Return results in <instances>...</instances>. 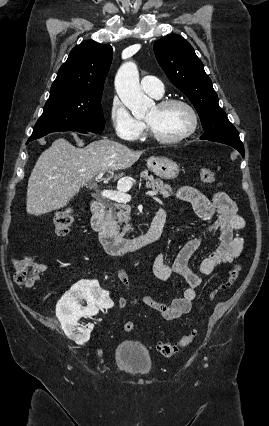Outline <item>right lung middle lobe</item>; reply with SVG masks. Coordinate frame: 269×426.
Instances as JSON below:
<instances>
[{
	"label": "right lung middle lobe",
	"instance_id": "dd1d6c3e",
	"mask_svg": "<svg viewBox=\"0 0 269 426\" xmlns=\"http://www.w3.org/2000/svg\"><path fill=\"white\" fill-rule=\"evenodd\" d=\"M101 96L65 91L51 93L29 141L59 131L102 132L105 120Z\"/></svg>",
	"mask_w": 269,
	"mask_h": 426
}]
</instances>
